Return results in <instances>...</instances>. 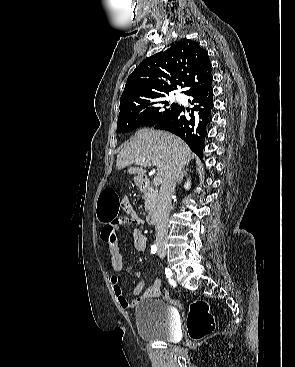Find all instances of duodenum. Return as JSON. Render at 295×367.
Segmentation results:
<instances>
[{
	"label": "duodenum",
	"instance_id": "1",
	"mask_svg": "<svg viewBox=\"0 0 295 367\" xmlns=\"http://www.w3.org/2000/svg\"><path fill=\"white\" fill-rule=\"evenodd\" d=\"M139 186L141 189L146 190L150 188L149 180L146 177H140L139 178ZM159 207H154L147 216V222L148 224H155L159 217Z\"/></svg>",
	"mask_w": 295,
	"mask_h": 367
}]
</instances>
